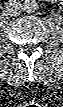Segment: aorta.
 Returning <instances> with one entry per match:
<instances>
[{
    "label": "aorta",
    "mask_w": 63,
    "mask_h": 107,
    "mask_svg": "<svg viewBox=\"0 0 63 107\" xmlns=\"http://www.w3.org/2000/svg\"><path fill=\"white\" fill-rule=\"evenodd\" d=\"M23 10L27 13H33L37 10L38 8V4L36 2V0H25L23 2V6H22Z\"/></svg>",
    "instance_id": "762f6f07"
}]
</instances>
